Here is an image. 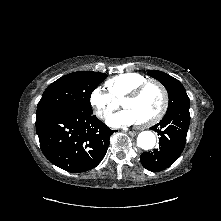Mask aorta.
Listing matches in <instances>:
<instances>
[{"mask_svg":"<svg viewBox=\"0 0 221 221\" xmlns=\"http://www.w3.org/2000/svg\"><path fill=\"white\" fill-rule=\"evenodd\" d=\"M156 144V136L151 131H143L137 137V145L141 149H152Z\"/></svg>","mask_w":221,"mask_h":221,"instance_id":"obj_1","label":"aorta"}]
</instances>
